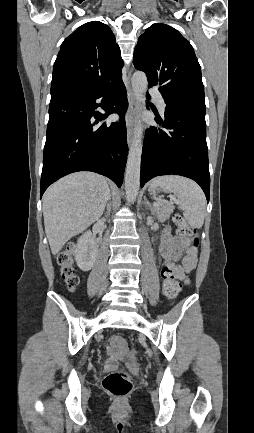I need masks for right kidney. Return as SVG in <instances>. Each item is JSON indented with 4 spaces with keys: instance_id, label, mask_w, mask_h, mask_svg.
Here are the masks:
<instances>
[{
    "instance_id": "1",
    "label": "right kidney",
    "mask_w": 254,
    "mask_h": 433,
    "mask_svg": "<svg viewBox=\"0 0 254 433\" xmlns=\"http://www.w3.org/2000/svg\"><path fill=\"white\" fill-rule=\"evenodd\" d=\"M98 245L91 231L85 232L77 241L74 248V256L78 267L82 271H89L96 261Z\"/></svg>"
}]
</instances>
